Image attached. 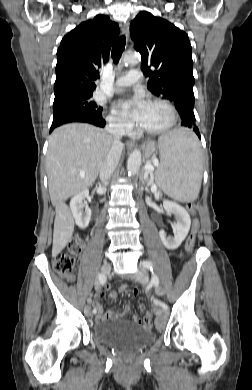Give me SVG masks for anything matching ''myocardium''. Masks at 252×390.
<instances>
[{
	"instance_id": "myocardium-1",
	"label": "myocardium",
	"mask_w": 252,
	"mask_h": 390,
	"mask_svg": "<svg viewBox=\"0 0 252 390\" xmlns=\"http://www.w3.org/2000/svg\"><path fill=\"white\" fill-rule=\"evenodd\" d=\"M147 103L148 104H154V103L163 104L164 106H166L168 108L170 115H171V119H170V122L165 127L160 128V129H155V130H147V129L142 128L139 125L138 131L140 133L145 134V135H153V136L162 135V134L169 132L170 130H172L175 127L177 120H178V114H177L176 107L170 101L163 99V98H152V99H149L147 101Z\"/></svg>"
}]
</instances>
